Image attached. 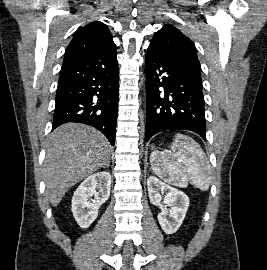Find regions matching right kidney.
<instances>
[{
	"mask_svg": "<svg viewBox=\"0 0 267 270\" xmlns=\"http://www.w3.org/2000/svg\"><path fill=\"white\" fill-rule=\"evenodd\" d=\"M111 175L102 171L87 177L72 198V212L81 228H88L98 216L100 206L110 195ZM94 197L92 203L88 200Z\"/></svg>",
	"mask_w": 267,
	"mask_h": 270,
	"instance_id": "ca27d5eb",
	"label": "right kidney"
}]
</instances>
